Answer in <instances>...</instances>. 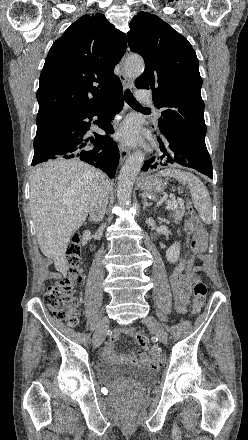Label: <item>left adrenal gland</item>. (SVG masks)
Returning a JSON list of instances; mask_svg holds the SVG:
<instances>
[{
	"instance_id": "a2214340",
	"label": "left adrenal gland",
	"mask_w": 248,
	"mask_h": 440,
	"mask_svg": "<svg viewBox=\"0 0 248 440\" xmlns=\"http://www.w3.org/2000/svg\"><path fill=\"white\" fill-rule=\"evenodd\" d=\"M151 205L148 203L147 199H144L143 201V210H145L147 207H150Z\"/></svg>"
}]
</instances>
